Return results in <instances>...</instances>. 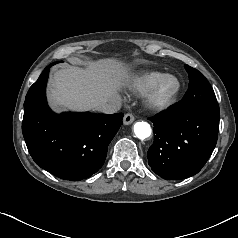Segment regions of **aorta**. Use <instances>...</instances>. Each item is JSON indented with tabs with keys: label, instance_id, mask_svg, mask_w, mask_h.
<instances>
[{
	"label": "aorta",
	"instance_id": "762f6f07",
	"mask_svg": "<svg viewBox=\"0 0 238 238\" xmlns=\"http://www.w3.org/2000/svg\"><path fill=\"white\" fill-rule=\"evenodd\" d=\"M134 133L136 137L141 140H144L150 137L152 133L151 126L147 122H136L133 126Z\"/></svg>",
	"mask_w": 238,
	"mask_h": 238
}]
</instances>
